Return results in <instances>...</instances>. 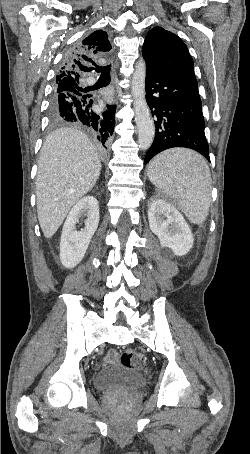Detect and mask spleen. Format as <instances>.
Instances as JSON below:
<instances>
[{
	"mask_svg": "<svg viewBox=\"0 0 250 454\" xmlns=\"http://www.w3.org/2000/svg\"><path fill=\"white\" fill-rule=\"evenodd\" d=\"M148 178L162 193L172 198L188 220L203 223L211 202V174L206 161L188 149H170L152 159Z\"/></svg>",
	"mask_w": 250,
	"mask_h": 454,
	"instance_id": "1",
	"label": "spleen"
}]
</instances>
